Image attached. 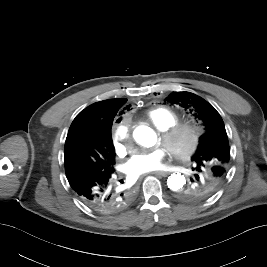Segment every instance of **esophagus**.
<instances>
[{
    "label": "esophagus",
    "mask_w": 267,
    "mask_h": 267,
    "mask_svg": "<svg viewBox=\"0 0 267 267\" xmlns=\"http://www.w3.org/2000/svg\"><path fill=\"white\" fill-rule=\"evenodd\" d=\"M152 174L166 177V176L169 175V172H167V171H155V172H153Z\"/></svg>",
    "instance_id": "esophagus-1"
}]
</instances>
